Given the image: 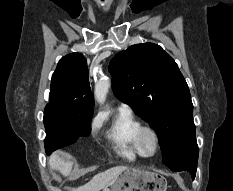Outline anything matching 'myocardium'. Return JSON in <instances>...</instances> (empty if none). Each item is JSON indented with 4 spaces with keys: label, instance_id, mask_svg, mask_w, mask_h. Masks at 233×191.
Here are the masks:
<instances>
[{
    "label": "myocardium",
    "instance_id": "f54148a6",
    "mask_svg": "<svg viewBox=\"0 0 233 191\" xmlns=\"http://www.w3.org/2000/svg\"><path fill=\"white\" fill-rule=\"evenodd\" d=\"M150 136L154 142V147L149 150L146 146V137ZM138 144L146 156H154L160 147V138L157 130L151 125H141L137 133Z\"/></svg>",
    "mask_w": 233,
    "mask_h": 191
}]
</instances>
